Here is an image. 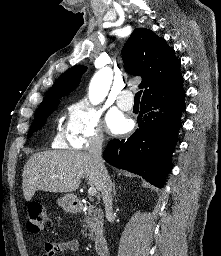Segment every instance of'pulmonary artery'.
Returning <instances> with one entry per match:
<instances>
[{
  "label": "pulmonary artery",
  "mask_w": 221,
  "mask_h": 256,
  "mask_svg": "<svg viewBox=\"0 0 221 256\" xmlns=\"http://www.w3.org/2000/svg\"><path fill=\"white\" fill-rule=\"evenodd\" d=\"M117 105L124 111L131 110L133 107V94L129 90H123L117 97Z\"/></svg>",
  "instance_id": "1"
}]
</instances>
